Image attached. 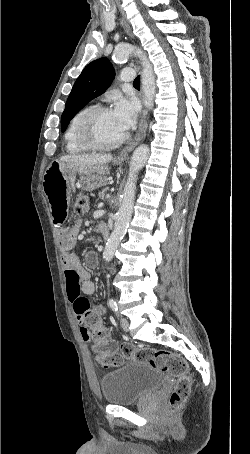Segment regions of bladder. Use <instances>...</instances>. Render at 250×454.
Returning <instances> with one entry per match:
<instances>
[{
	"instance_id": "31cf9c89",
	"label": "bladder",
	"mask_w": 250,
	"mask_h": 454,
	"mask_svg": "<svg viewBox=\"0 0 250 454\" xmlns=\"http://www.w3.org/2000/svg\"><path fill=\"white\" fill-rule=\"evenodd\" d=\"M163 382V374L150 364L132 361L104 374L100 386L108 404L131 405L159 389Z\"/></svg>"
}]
</instances>
